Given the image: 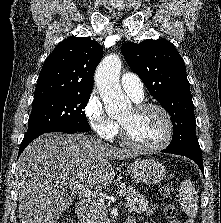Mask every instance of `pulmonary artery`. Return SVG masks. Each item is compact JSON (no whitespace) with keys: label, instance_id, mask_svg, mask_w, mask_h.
<instances>
[{"label":"pulmonary artery","instance_id":"obj_1","mask_svg":"<svg viewBox=\"0 0 221 223\" xmlns=\"http://www.w3.org/2000/svg\"><path fill=\"white\" fill-rule=\"evenodd\" d=\"M122 89L135 101L143 98V83L141 79L133 73H125L120 79Z\"/></svg>","mask_w":221,"mask_h":223}]
</instances>
